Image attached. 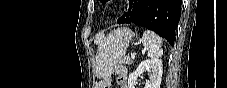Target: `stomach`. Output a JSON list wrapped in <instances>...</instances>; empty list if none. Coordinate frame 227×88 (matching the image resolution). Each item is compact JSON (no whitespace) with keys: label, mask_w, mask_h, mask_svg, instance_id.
Here are the masks:
<instances>
[{"label":"stomach","mask_w":227,"mask_h":88,"mask_svg":"<svg viewBox=\"0 0 227 88\" xmlns=\"http://www.w3.org/2000/svg\"><path fill=\"white\" fill-rule=\"evenodd\" d=\"M132 39L133 33L127 27L117 28L102 39L94 64L98 77L105 78L114 72L117 63L125 56Z\"/></svg>","instance_id":"stomach-1"}]
</instances>
